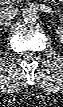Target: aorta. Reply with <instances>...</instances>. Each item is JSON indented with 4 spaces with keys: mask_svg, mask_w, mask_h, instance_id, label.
Here are the masks:
<instances>
[{
    "mask_svg": "<svg viewBox=\"0 0 63 107\" xmlns=\"http://www.w3.org/2000/svg\"><path fill=\"white\" fill-rule=\"evenodd\" d=\"M39 19V14L36 9H25L23 12V20L28 24H35Z\"/></svg>",
    "mask_w": 63,
    "mask_h": 107,
    "instance_id": "762f6f07",
    "label": "aorta"
}]
</instances>
